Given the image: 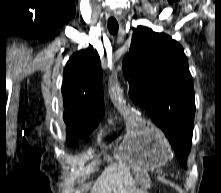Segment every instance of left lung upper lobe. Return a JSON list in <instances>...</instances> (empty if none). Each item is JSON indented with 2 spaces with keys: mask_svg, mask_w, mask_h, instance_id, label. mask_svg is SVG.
<instances>
[{
  "mask_svg": "<svg viewBox=\"0 0 221 193\" xmlns=\"http://www.w3.org/2000/svg\"><path fill=\"white\" fill-rule=\"evenodd\" d=\"M129 95L167 136L179 162L186 166L195 115L192 76L182 46L164 33L135 29L123 59Z\"/></svg>",
  "mask_w": 221,
  "mask_h": 193,
  "instance_id": "1",
  "label": "left lung upper lobe"
}]
</instances>
